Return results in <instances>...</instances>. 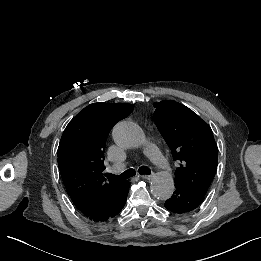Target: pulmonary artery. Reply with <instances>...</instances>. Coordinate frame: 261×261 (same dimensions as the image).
Returning <instances> with one entry per match:
<instances>
[{
	"mask_svg": "<svg viewBox=\"0 0 261 261\" xmlns=\"http://www.w3.org/2000/svg\"><path fill=\"white\" fill-rule=\"evenodd\" d=\"M152 142L150 139H149V142L150 143ZM143 147V151L146 147L145 146H142ZM122 168L124 169V165H121ZM155 167L159 170V171H166L169 167H170V160L166 157V156H159L156 160H155Z\"/></svg>",
	"mask_w": 261,
	"mask_h": 261,
	"instance_id": "obj_1",
	"label": "pulmonary artery"
}]
</instances>
